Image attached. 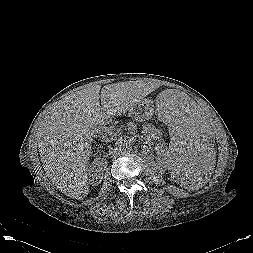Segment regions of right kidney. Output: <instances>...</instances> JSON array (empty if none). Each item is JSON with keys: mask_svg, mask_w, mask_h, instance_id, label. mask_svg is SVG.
<instances>
[{"mask_svg": "<svg viewBox=\"0 0 253 253\" xmlns=\"http://www.w3.org/2000/svg\"><path fill=\"white\" fill-rule=\"evenodd\" d=\"M94 170H95L94 166H90L89 169H88L89 174H91V175H90V177H91L90 182H91L92 184L96 185L97 183H95L94 179H95V178L97 179V174H96V173H93V172H95Z\"/></svg>", "mask_w": 253, "mask_h": 253, "instance_id": "obj_1", "label": "right kidney"}]
</instances>
